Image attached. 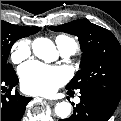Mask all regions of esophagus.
<instances>
[{
	"instance_id": "1",
	"label": "esophagus",
	"mask_w": 121,
	"mask_h": 121,
	"mask_svg": "<svg viewBox=\"0 0 121 121\" xmlns=\"http://www.w3.org/2000/svg\"><path fill=\"white\" fill-rule=\"evenodd\" d=\"M48 103L51 104V105H53V104L56 103V100H48Z\"/></svg>"
}]
</instances>
